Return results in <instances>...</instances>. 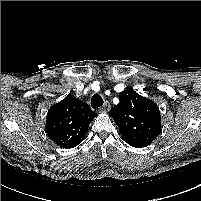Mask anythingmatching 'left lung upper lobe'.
<instances>
[{"label":"left lung upper lobe","mask_w":201,"mask_h":201,"mask_svg":"<svg viewBox=\"0 0 201 201\" xmlns=\"http://www.w3.org/2000/svg\"><path fill=\"white\" fill-rule=\"evenodd\" d=\"M119 99L109 116L118 125L122 139L134 147L148 146L161 131L158 106L131 88L121 92Z\"/></svg>","instance_id":"5c2ea615"}]
</instances>
